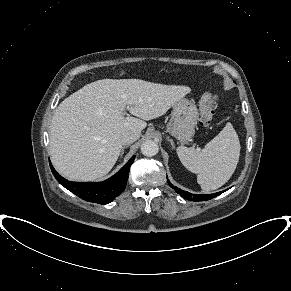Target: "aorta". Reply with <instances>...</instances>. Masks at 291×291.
Instances as JSON below:
<instances>
[{"label": "aorta", "instance_id": "aorta-1", "mask_svg": "<svg viewBox=\"0 0 291 291\" xmlns=\"http://www.w3.org/2000/svg\"><path fill=\"white\" fill-rule=\"evenodd\" d=\"M158 151H159L158 144L153 140H146L141 145V152L143 155L147 157L156 155Z\"/></svg>", "mask_w": 291, "mask_h": 291}]
</instances>
